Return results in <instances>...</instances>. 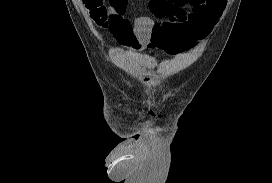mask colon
Here are the masks:
<instances>
[{
  "label": "colon",
  "mask_w": 272,
  "mask_h": 183,
  "mask_svg": "<svg viewBox=\"0 0 272 183\" xmlns=\"http://www.w3.org/2000/svg\"><path fill=\"white\" fill-rule=\"evenodd\" d=\"M124 0H83L90 16L100 27L111 29L124 20Z\"/></svg>",
  "instance_id": "colon-1"
}]
</instances>
